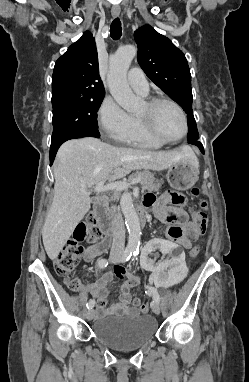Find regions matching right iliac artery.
Masks as SVG:
<instances>
[{"instance_id":"obj_1","label":"right iliac artery","mask_w":249,"mask_h":382,"mask_svg":"<svg viewBox=\"0 0 249 382\" xmlns=\"http://www.w3.org/2000/svg\"><path fill=\"white\" fill-rule=\"evenodd\" d=\"M131 255H132V251L126 249V250L124 251V253H123L122 258H121V262H126V261H128V260L130 259ZM97 265H98L99 268H102V269H103V268L107 267V265H108V261H107L106 259H99L98 262H97ZM94 305H95V301H94L93 299H90V300L88 301V303L86 304V307H87L88 309H90V308H93Z\"/></svg>"}]
</instances>
